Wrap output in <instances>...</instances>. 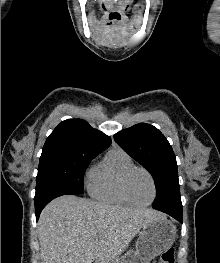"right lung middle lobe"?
<instances>
[{
    "mask_svg": "<svg viewBox=\"0 0 220 263\" xmlns=\"http://www.w3.org/2000/svg\"><path fill=\"white\" fill-rule=\"evenodd\" d=\"M98 153L73 150L42 151L35 198L51 191L83 193L84 173Z\"/></svg>",
    "mask_w": 220,
    "mask_h": 263,
    "instance_id": "1",
    "label": "right lung middle lobe"
}]
</instances>
